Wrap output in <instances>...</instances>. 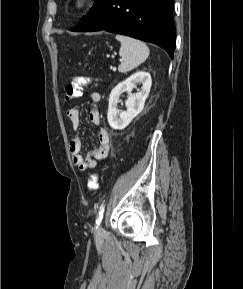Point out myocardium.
Wrapping results in <instances>:
<instances>
[{
	"instance_id": "myocardium-1",
	"label": "myocardium",
	"mask_w": 243,
	"mask_h": 289,
	"mask_svg": "<svg viewBox=\"0 0 243 289\" xmlns=\"http://www.w3.org/2000/svg\"><path fill=\"white\" fill-rule=\"evenodd\" d=\"M93 4V0H73L72 8L77 12L89 9Z\"/></svg>"
}]
</instances>
